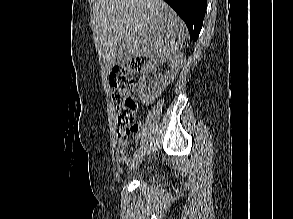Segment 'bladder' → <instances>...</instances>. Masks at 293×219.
<instances>
[{
	"instance_id": "obj_1",
	"label": "bladder",
	"mask_w": 293,
	"mask_h": 219,
	"mask_svg": "<svg viewBox=\"0 0 293 219\" xmlns=\"http://www.w3.org/2000/svg\"><path fill=\"white\" fill-rule=\"evenodd\" d=\"M143 182L148 185H154V184H156L157 179L153 175H148V176L144 177Z\"/></svg>"
}]
</instances>
